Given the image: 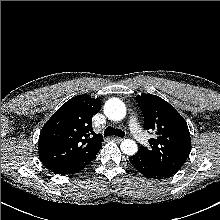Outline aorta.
I'll list each match as a JSON object with an SVG mask.
<instances>
[{
  "instance_id": "762f6f07",
  "label": "aorta",
  "mask_w": 220,
  "mask_h": 220,
  "mask_svg": "<svg viewBox=\"0 0 220 220\" xmlns=\"http://www.w3.org/2000/svg\"><path fill=\"white\" fill-rule=\"evenodd\" d=\"M104 113L110 120L120 121L126 115L125 104L117 98L109 99L104 105ZM120 148L124 154L129 156L136 154L138 151L137 144L130 139L122 141Z\"/></svg>"
}]
</instances>
